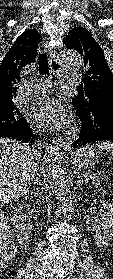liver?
I'll return each mask as SVG.
<instances>
[{
  "label": "liver",
  "instance_id": "1",
  "mask_svg": "<svg viewBox=\"0 0 113 279\" xmlns=\"http://www.w3.org/2000/svg\"><path fill=\"white\" fill-rule=\"evenodd\" d=\"M39 160V154L25 143L0 138V206L27 194Z\"/></svg>",
  "mask_w": 113,
  "mask_h": 279
}]
</instances>
